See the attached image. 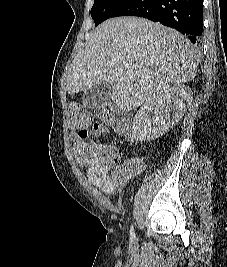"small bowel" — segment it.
<instances>
[{"label": "small bowel", "mask_w": 227, "mask_h": 267, "mask_svg": "<svg viewBox=\"0 0 227 267\" xmlns=\"http://www.w3.org/2000/svg\"><path fill=\"white\" fill-rule=\"evenodd\" d=\"M78 128L72 137L73 156L78 165L87 171L88 180L98 186L103 192L109 193L111 188L116 187L136 175L141 166L138 161H128L119 166L112 175L109 174V152H100L97 142L90 141V137H101L109 129L101 123L95 122L92 126ZM111 130L121 133L122 129L114 125Z\"/></svg>", "instance_id": "c3829d8e"}]
</instances>
